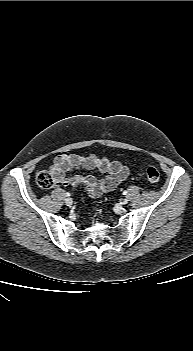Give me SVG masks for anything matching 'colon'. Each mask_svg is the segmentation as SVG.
<instances>
[{
	"label": "colon",
	"instance_id": "obj_1",
	"mask_svg": "<svg viewBox=\"0 0 193 351\" xmlns=\"http://www.w3.org/2000/svg\"><path fill=\"white\" fill-rule=\"evenodd\" d=\"M146 178L149 182L155 183L160 179L159 170L150 166L146 169ZM35 182L37 186L42 190L51 189L55 185L53 177L46 171H39L35 175ZM87 188V185L83 182H78L74 185V190L77 193L84 191Z\"/></svg>",
	"mask_w": 193,
	"mask_h": 351
}]
</instances>
